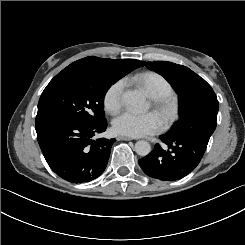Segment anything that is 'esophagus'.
<instances>
[{
	"mask_svg": "<svg viewBox=\"0 0 245 245\" xmlns=\"http://www.w3.org/2000/svg\"><path fill=\"white\" fill-rule=\"evenodd\" d=\"M116 139H117L118 141H120V140H126V141L133 140V138L127 137V136H117Z\"/></svg>",
	"mask_w": 245,
	"mask_h": 245,
	"instance_id": "obj_1",
	"label": "esophagus"
}]
</instances>
